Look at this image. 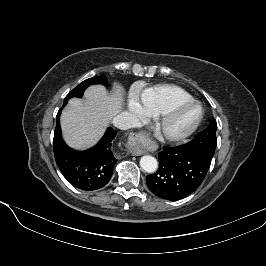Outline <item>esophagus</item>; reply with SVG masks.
<instances>
[{
  "label": "esophagus",
  "mask_w": 266,
  "mask_h": 266,
  "mask_svg": "<svg viewBox=\"0 0 266 266\" xmlns=\"http://www.w3.org/2000/svg\"><path fill=\"white\" fill-rule=\"evenodd\" d=\"M146 141L145 136L141 133L132 134L128 139V149L134 156H140L146 153L143 147Z\"/></svg>",
  "instance_id": "1"
}]
</instances>
